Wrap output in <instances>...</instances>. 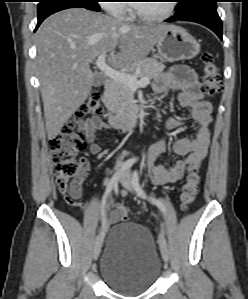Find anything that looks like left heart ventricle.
I'll list each match as a JSON object with an SVG mask.
<instances>
[{
	"mask_svg": "<svg viewBox=\"0 0 248 299\" xmlns=\"http://www.w3.org/2000/svg\"><path fill=\"white\" fill-rule=\"evenodd\" d=\"M138 9L146 15H159L162 14L167 7V1H151L142 2L137 4Z\"/></svg>",
	"mask_w": 248,
	"mask_h": 299,
	"instance_id": "left-heart-ventricle-1",
	"label": "left heart ventricle"
}]
</instances>
